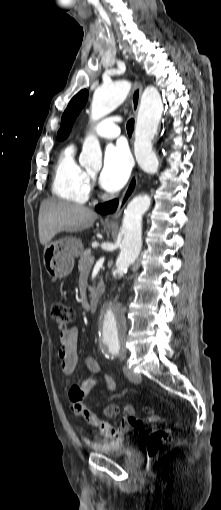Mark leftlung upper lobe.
I'll return each instance as SVG.
<instances>
[{"mask_svg":"<svg viewBox=\"0 0 221 510\" xmlns=\"http://www.w3.org/2000/svg\"><path fill=\"white\" fill-rule=\"evenodd\" d=\"M88 99V91L86 89L81 90L78 94H76L70 103L68 104L67 109L62 115L61 126L57 133L58 140H64L68 137L72 125L76 119V116L79 114L81 109L84 107Z\"/></svg>","mask_w":221,"mask_h":510,"instance_id":"obj_1","label":"left lung upper lobe"}]
</instances>
